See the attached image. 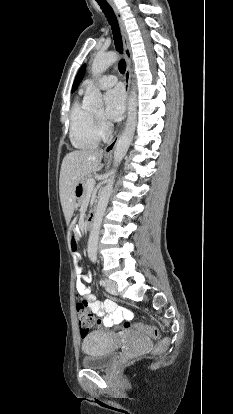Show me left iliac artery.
I'll return each mask as SVG.
<instances>
[{
  "label": "left iliac artery",
  "instance_id": "44dca946",
  "mask_svg": "<svg viewBox=\"0 0 233 414\" xmlns=\"http://www.w3.org/2000/svg\"><path fill=\"white\" fill-rule=\"evenodd\" d=\"M99 283H100V285H102V286H105V285H106V282H105V280H103V279H100Z\"/></svg>",
  "mask_w": 233,
  "mask_h": 414
}]
</instances>
